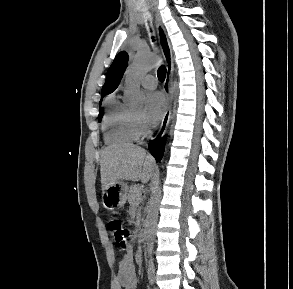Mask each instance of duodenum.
Segmentation results:
<instances>
[{
    "label": "duodenum",
    "instance_id": "duodenum-1",
    "mask_svg": "<svg viewBox=\"0 0 293 289\" xmlns=\"http://www.w3.org/2000/svg\"><path fill=\"white\" fill-rule=\"evenodd\" d=\"M146 233H147V230H146V225L143 224L139 229H138V232L136 234V239L139 241V242H144L146 240Z\"/></svg>",
    "mask_w": 293,
    "mask_h": 289
}]
</instances>
